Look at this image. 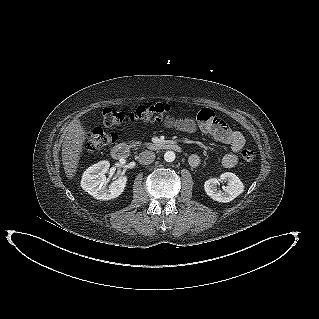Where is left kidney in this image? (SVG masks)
<instances>
[{
    "mask_svg": "<svg viewBox=\"0 0 319 319\" xmlns=\"http://www.w3.org/2000/svg\"><path fill=\"white\" fill-rule=\"evenodd\" d=\"M222 180L227 182V186L222 187V191L217 188V184ZM206 194L215 201L227 203L234 200L244 191V185L237 175L231 172H224L220 179L211 178L204 183Z\"/></svg>",
    "mask_w": 319,
    "mask_h": 319,
    "instance_id": "obj_1",
    "label": "left kidney"
}]
</instances>
